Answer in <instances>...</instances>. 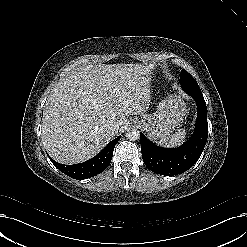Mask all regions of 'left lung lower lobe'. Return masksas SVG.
<instances>
[{"instance_id":"obj_1","label":"left lung lower lobe","mask_w":247,"mask_h":247,"mask_svg":"<svg viewBox=\"0 0 247 247\" xmlns=\"http://www.w3.org/2000/svg\"><path fill=\"white\" fill-rule=\"evenodd\" d=\"M182 89L193 97L197 104L198 114L192 137L178 148L167 149L156 146L140 134L144 164L151 171L165 176L178 175L190 169L201 156L208 137L207 107L198 84L182 86Z\"/></svg>"}]
</instances>
